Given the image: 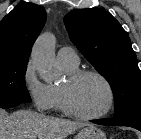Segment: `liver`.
<instances>
[{"mask_svg": "<svg viewBox=\"0 0 141 139\" xmlns=\"http://www.w3.org/2000/svg\"><path fill=\"white\" fill-rule=\"evenodd\" d=\"M87 125L30 110H19L9 115L0 109V139H65Z\"/></svg>", "mask_w": 141, "mask_h": 139, "instance_id": "obj_1", "label": "liver"}]
</instances>
